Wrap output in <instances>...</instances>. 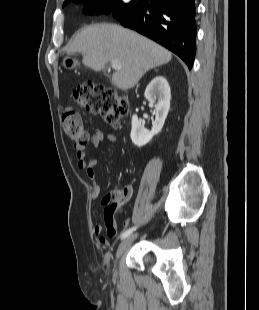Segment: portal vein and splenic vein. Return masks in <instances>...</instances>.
Returning a JSON list of instances; mask_svg holds the SVG:
<instances>
[{
    "label": "portal vein and splenic vein",
    "mask_w": 259,
    "mask_h": 310,
    "mask_svg": "<svg viewBox=\"0 0 259 310\" xmlns=\"http://www.w3.org/2000/svg\"><path fill=\"white\" fill-rule=\"evenodd\" d=\"M111 66H112V68L115 69V70H119V69L122 68L121 63L118 62V61H112V62H111Z\"/></svg>",
    "instance_id": "1"
}]
</instances>
